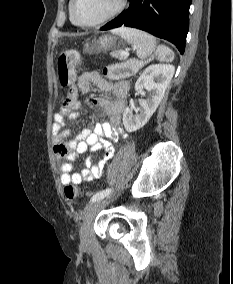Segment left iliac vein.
I'll return each mask as SVG.
<instances>
[{"label":"left iliac vein","mask_w":233,"mask_h":284,"mask_svg":"<svg viewBox=\"0 0 233 284\" xmlns=\"http://www.w3.org/2000/svg\"><path fill=\"white\" fill-rule=\"evenodd\" d=\"M107 204L106 200H98L89 203L84 210L83 222L80 228V240L82 245L90 243L91 223L98 211Z\"/></svg>","instance_id":"left-iliac-vein-1"}]
</instances>
